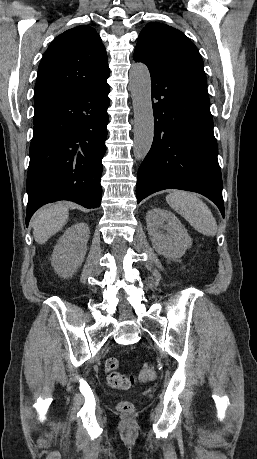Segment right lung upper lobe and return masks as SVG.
Returning <instances> with one entry per match:
<instances>
[{"mask_svg":"<svg viewBox=\"0 0 257 459\" xmlns=\"http://www.w3.org/2000/svg\"><path fill=\"white\" fill-rule=\"evenodd\" d=\"M109 75L106 50L95 29H69L55 38L41 60L34 104L92 88Z\"/></svg>","mask_w":257,"mask_h":459,"instance_id":"cb5924a9","label":"right lung upper lobe"}]
</instances>
